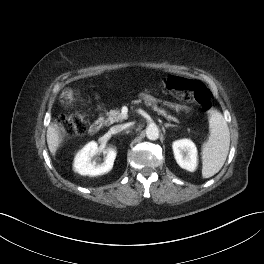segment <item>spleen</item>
<instances>
[{"label":"spleen","mask_w":264,"mask_h":264,"mask_svg":"<svg viewBox=\"0 0 264 264\" xmlns=\"http://www.w3.org/2000/svg\"><path fill=\"white\" fill-rule=\"evenodd\" d=\"M210 136L202 146V176L209 178L223 167L230 146V132L223 115L211 110L209 115Z\"/></svg>","instance_id":"1"}]
</instances>
